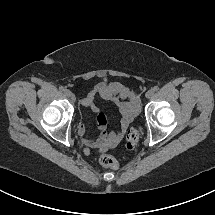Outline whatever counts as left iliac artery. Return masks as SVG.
<instances>
[{"label": "left iliac artery", "mask_w": 215, "mask_h": 215, "mask_svg": "<svg viewBox=\"0 0 215 215\" xmlns=\"http://www.w3.org/2000/svg\"><path fill=\"white\" fill-rule=\"evenodd\" d=\"M153 90H154V91H158V90H159V87H158V86H154V87H153Z\"/></svg>", "instance_id": "1"}]
</instances>
